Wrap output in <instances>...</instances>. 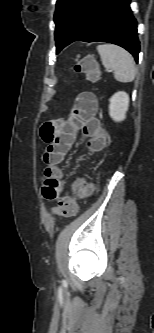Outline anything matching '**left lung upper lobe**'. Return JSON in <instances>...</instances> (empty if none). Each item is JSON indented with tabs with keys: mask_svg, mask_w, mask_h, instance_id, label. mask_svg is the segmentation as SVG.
I'll use <instances>...</instances> for the list:
<instances>
[{
	"mask_svg": "<svg viewBox=\"0 0 154 333\" xmlns=\"http://www.w3.org/2000/svg\"><path fill=\"white\" fill-rule=\"evenodd\" d=\"M97 0H57L54 15L57 52L72 37Z\"/></svg>",
	"mask_w": 154,
	"mask_h": 333,
	"instance_id": "5c2ea615",
	"label": "left lung upper lobe"
}]
</instances>
